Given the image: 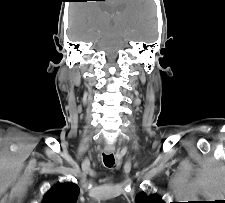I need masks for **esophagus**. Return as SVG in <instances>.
<instances>
[{
    "label": "esophagus",
    "mask_w": 225,
    "mask_h": 203,
    "mask_svg": "<svg viewBox=\"0 0 225 203\" xmlns=\"http://www.w3.org/2000/svg\"><path fill=\"white\" fill-rule=\"evenodd\" d=\"M104 152H105L106 154H111V153H114V152H115V149H114V148H105V149H104Z\"/></svg>",
    "instance_id": "1"
}]
</instances>
